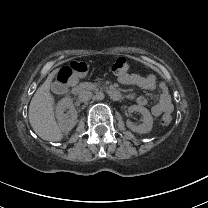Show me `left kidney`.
I'll use <instances>...</instances> for the list:
<instances>
[{"label": "left kidney", "instance_id": "left-kidney-1", "mask_svg": "<svg viewBox=\"0 0 208 208\" xmlns=\"http://www.w3.org/2000/svg\"><path fill=\"white\" fill-rule=\"evenodd\" d=\"M133 111L139 112L140 114L143 115V124L136 126L132 124L131 122H127L126 123L127 128L139 134H145V133L150 132L153 126V117L150 114V111L147 108L140 106V105L129 106L128 112L131 113Z\"/></svg>", "mask_w": 208, "mask_h": 208}]
</instances>
